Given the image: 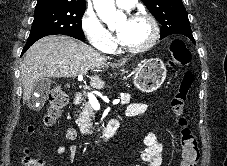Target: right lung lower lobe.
Returning <instances> with one entry per match:
<instances>
[{
	"label": "right lung lower lobe",
	"instance_id": "right-lung-lower-lobe-1",
	"mask_svg": "<svg viewBox=\"0 0 227 166\" xmlns=\"http://www.w3.org/2000/svg\"><path fill=\"white\" fill-rule=\"evenodd\" d=\"M36 41H37V40L27 42L26 45L24 46L23 50H22V54H21V55H23V54L28 50V48H29L33 43H35Z\"/></svg>",
	"mask_w": 227,
	"mask_h": 166
}]
</instances>
